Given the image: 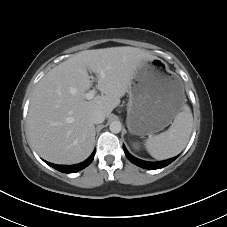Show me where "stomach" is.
<instances>
[{"instance_id": "1", "label": "stomach", "mask_w": 227, "mask_h": 227, "mask_svg": "<svg viewBox=\"0 0 227 227\" xmlns=\"http://www.w3.org/2000/svg\"><path fill=\"white\" fill-rule=\"evenodd\" d=\"M127 127L132 134H154L167 127L185 103L181 80L159 58L142 60L129 85Z\"/></svg>"}]
</instances>
